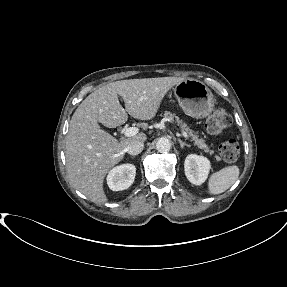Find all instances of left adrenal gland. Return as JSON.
<instances>
[{"mask_svg": "<svg viewBox=\"0 0 287 287\" xmlns=\"http://www.w3.org/2000/svg\"><path fill=\"white\" fill-rule=\"evenodd\" d=\"M178 142H179V144H180V146H181L182 149H183L185 146L190 147L189 144L183 142L181 139H178Z\"/></svg>", "mask_w": 287, "mask_h": 287, "instance_id": "1", "label": "left adrenal gland"}]
</instances>
